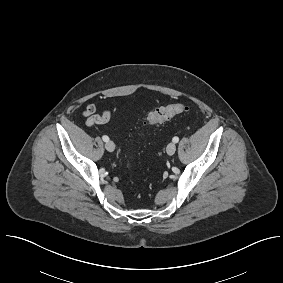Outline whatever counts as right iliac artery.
Segmentation results:
<instances>
[{"label":"right iliac artery","mask_w":283,"mask_h":283,"mask_svg":"<svg viewBox=\"0 0 283 283\" xmlns=\"http://www.w3.org/2000/svg\"><path fill=\"white\" fill-rule=\"evenodd\" d=\"M102 139H103V141H105V142L109 141V137L106 136V135H104V136L102 137Z\"/></svg>","instance_id":"right-iliac-artery-1"}]
</instances>
